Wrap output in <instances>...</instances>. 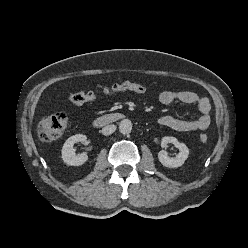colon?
Returning <instances> with one entry per match:
<instances>
[{
    "label": "colon",
    "mask_w": 248,
    "mask_h": 248,
    "mask_svg": "<svg viewBox=\"0 0 248 248\" xmlns=\"http://www.w3.org/2000/svg\"><path fill=\"white\" fill-rule=\"evenodd\" d=\"M146 87L136 82L116 83L100 90L76 91L70 95V101L80 105L93 102L104 97H109L121 92L144 93ZM68 124L67 116L63 113H56L43 117L38 125V134L43 141H53L58 139L65 131ZM202 143L208 140L207 134L203 133L199 137Z\"/></svg>",
    "instance_id": "5ec220e1"
}]
</instances>
